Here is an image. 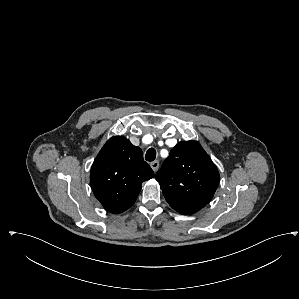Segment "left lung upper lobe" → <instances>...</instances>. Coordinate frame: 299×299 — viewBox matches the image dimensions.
Here are the masks:
<instances>
[{"label":"left lung upper lobe","mask_w":299,"mask_h":299,"mask_svg":"<svg viewBox=\"0 0 299 299\" xmlns=\"http://www.w3.org/2000/svg\"><path fill=\"white\" fill-rule=\"evenodd\" d=\"M169 205L192 214L212 199L220 180L217 167L196 141L179 142L156 175Z\"/></svg>","instance_id":"5c2ea615"}]
</instances>
